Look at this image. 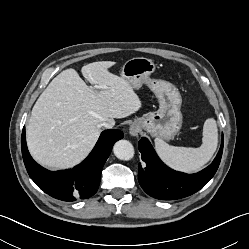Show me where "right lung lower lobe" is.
<instances>
[{"label":"right lung lower lobe","instance_id":"right-lung-lower-lobe-1","mask_svg":"<svg viewBox=\"0 0 249 249\" xmlns=\"http://www.w3.org/2000/svg\"><path fill=\"white\" fill-rule=\"evenodd\" d=\"M123 136L120 130H105L92 152L81 164L70 170L51 172L37 164L30 156L23 128L22 156L29 176L45 193L63 201L87 199L97 192L103 165L114 143Z\"/></svg>","mask_w":249,"mask_h":249}]
</instances>
